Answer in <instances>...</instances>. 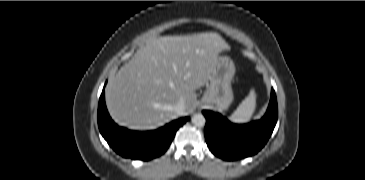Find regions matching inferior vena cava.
Returning <instances> with one entry per match:
<instances>
[{"instance_id":"inferior-vena-cava-1","label":"inferior vena cava","mask_w":365,"mask_h":180,"mask_svg":"<svg viewBox=\"0 0 365 180\" xmlns=\"http://www.w3.org/2000/svg\"><path fill=\"white\" fill-rule=\"evenodd\" d=\"M185 109V102L183 100H180L176 106L174 107V110L177 114L182 115Z\"/></svg>"}]
</instances>
